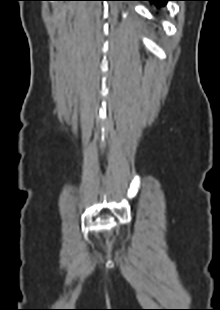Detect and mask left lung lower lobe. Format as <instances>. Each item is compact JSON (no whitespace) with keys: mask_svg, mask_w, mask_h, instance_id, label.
Masks as SVG:
<instances>
[{"mask_svg":"<svg viewBox=\"0 0 220 310\" xmlns=\"http://www.w3.org/2000/svg\"><path fill=\"white\" fill-rule=\"evenodd\" d=\"M144 1H150L151 3H154L157 7L164 6L168 1H174V0H144Z\"/></svg>","mask_w":220,"mask_h":310,"instance_id":"1","label":"left lung lower lobe"}]
</instances>
